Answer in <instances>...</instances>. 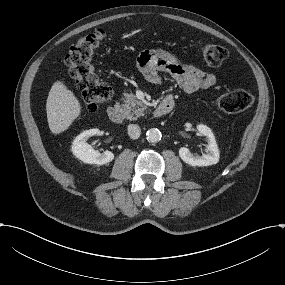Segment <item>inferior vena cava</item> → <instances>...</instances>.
Segmentation results:
<instances>
[{
    "label": "inferior vena cava",
    "mask_w": 285,
    "mask_h": 285,
    "mask_svg": "<svg viewBox=\"0 0 285 285\" xmlns=\"http://www.w3.org/2000/svg\"><path fill=\"white\" fill-rule=\"evenodd\" d=\"M141 133L140 126L137 124H131L128 127V135L132 139H138Z\"/></svg>",
    "instance_id": "inferior-vena-cava-1"
}]
</instances>
